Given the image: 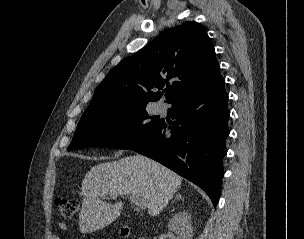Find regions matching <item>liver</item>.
I'll return each mask as SVG.
<instances>
[{
	"label": "liver",
	"instance_id": "liver-1",
	"mask_svg": "<svg viewBox=\"0 0 304 239\" xmlns=\"http://www.w3.org/2000/svg\"><path fill=\"white\" fill-rule=\"evenodd\" d=\"M182 178L145 156L134 155L93 166L84 177L79 215L81 233H92L116 220L122 202L108 204L105 196L134 195L147 201L148 213L158 215L181 187Z\"/></svg>",
	"mask_w": 304,
	"mask_h": 239
}]
</instances>
